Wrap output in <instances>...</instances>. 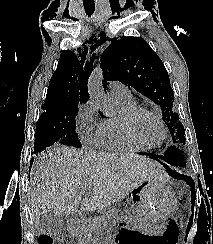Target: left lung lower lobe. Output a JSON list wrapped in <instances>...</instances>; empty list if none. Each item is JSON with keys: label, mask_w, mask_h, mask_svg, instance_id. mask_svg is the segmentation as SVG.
Segmentation results:
<instances>
[{"label": "left lung lower lobe", "mask_w": 213, "mask_h": 244, "mask_svg": "<svg viewBox=\"0 0 213 244\" xmlns=\"http://www.w3.org/2000/svg\"><path fill=\"white\" fill-rule=\"evenodd\" d=\"M144 155H147L150 158L158 160V161H159V159L162 160V164L164 165L167 172L171 176L175 177L176 179H182L188 185H190L192 201H195V184H194V181L192 180V178L189 176H186L185 174H181V173L177 172L176 170H173L169 167V165H173V166L175 165V160L173 158V153L171 150L167 149L163 155H155L153 153H144Z\"/></svg>", "instance_id": "obj_1"}]
</instances>
